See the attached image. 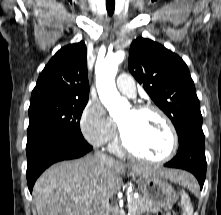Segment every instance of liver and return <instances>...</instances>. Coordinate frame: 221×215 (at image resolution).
Masks as SVG:
<instances>
[{"label": "liver", "instance_id": "1", "mask_svg": "<svg viewBox=\"0 0 221 215\" xmlns=\"http://www.w3.org/2000/svg\"><path fill=\"white\" fill-rule=\"evenodd\" d=\"M123 163L87 156L52 165L36 181L33 200L38 215H89L98 200L106 202L120 189ZM130 175H156L186 185L193 177L186 172L131 164Z\"/></svg>", "mask_w": 221, "mask_h": 215}]
</instances>
